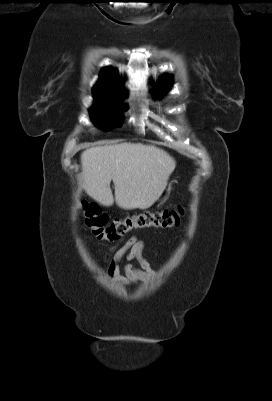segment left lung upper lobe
Listing matches in <instances>:
<instances>
[{
  "label": "left lung upper lobe",
  "mask_w": 272,
  "mask_h": 401,
  "mask_svg": "<svg viewBox=\"0 0 272 401\" xmlns=\"http://www.w3.org/2000/svg\"><path fill=\"white\" fill-rule=\"evenodd\" d=\"M172 78L171 76H165L164 79L158 84V98L164 94L168 88L171 86Z\"/></svg>",
  "instance_id": "5c2ea615"
}]
</instances>
